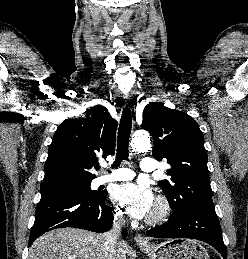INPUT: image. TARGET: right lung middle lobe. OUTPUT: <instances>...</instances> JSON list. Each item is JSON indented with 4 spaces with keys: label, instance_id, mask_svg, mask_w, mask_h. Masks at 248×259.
<instances>
[{
    "label": "right lung middle lobe",
    "instance_id": "1",
    "mask_svg": "<svg viewBox=\"0 0 248 259\" xmlns=\"http://www.w3.org/2000/svg\"><path fill=\"white\" fill-rule=\"evenodd\" d=\"M92 180L88 181H63L41 185V195L48 193H72L79 195L95 196L100 193L90 188Z\"/></svg>",
    "mask_w": 248,
    "mask_h": 259
}]
</instances>
